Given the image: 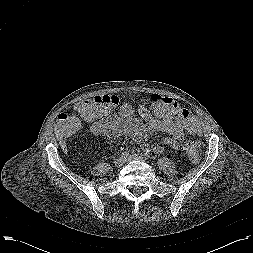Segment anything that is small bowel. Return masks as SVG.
Instances as JSON below:
<instances>
[{
    "instance_id": "obj_1",
    "label": "small bowel",
    "mask_w": 253,
    "mask_h": 253,
    "mask_svg": "<svg viewBox=\"0 0 253 253\" xmlns=\"http://www.w3.org/2000/svg\"><path fill=\"white\" fill-rule=\"evenodd\" d=\"M144 108L145 107H141L139 109L140 116L145 121V123H142L137 117H135L131 106H122L119 110L117 119L119 124H117L116 128L109 131V133L111 135L121 133L135 140H141L147 137V135L153 131H160L169 135V137H166L163 140V145H146L144 149L155 154L161 153L164 149V145L177 149L179 147L180 141L185 137L184 127L178 121L173 119L164 118L158 120L145 117ZM106 116L107 112L98 118ZM111 120L112 119L109 118H102L101 120L94 122L92 125V132L96 135L107 134L108 132L104 130L103 124ZM100 130H103V132L101 133ZM190 132L195 133L197 131L195 130Z\"/></svg>"
}]
</instances>
